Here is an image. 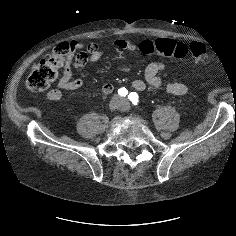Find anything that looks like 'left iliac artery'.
Here are the masks:
<instances>
[{"mask_svg":"<svg viewBox=\"0 0 236 236\" xmlns=\"http://www.w3.org/2000/svg\"><path fill=\"white\" fill-rule=\"evenodd\" d=\"M128 99L134 104V105H137L138 102H139V96L136 92H131L129 95H128Z\"/></svg>","mask_w":236,"mask_h":236,"instance_id":"1","label":"left iliac artery"}]
</instances>
